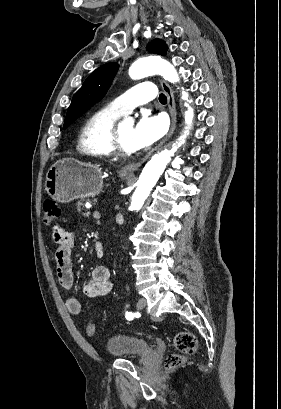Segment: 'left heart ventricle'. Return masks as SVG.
<instances>
[{"label":"left heart ventricle","instance_id":"obj_1","mask_svg":"<svg viewBox=\"0 0 281 409\" xmlns=\"http://www.w3.org/2000/svg\"><path fill=\"white\" fill-rule=\"evenodd\" d=\"M133 130H134V127L132 124H126V123L120 124L119 140H120V145L123 149H126V150L136 149L133 145Z\"/></svg>","mask_w":281,"mask_h":409}]
</instances>
